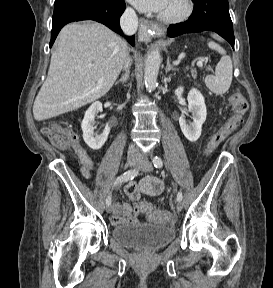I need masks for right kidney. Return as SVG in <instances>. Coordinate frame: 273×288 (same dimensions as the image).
Here are the masks:
<instances>
[{"label":"right kidney","instance_id":"1","mask_svg":"<svg viewBox=\"0 0 273 288\" xmlns=\"http://www.w3.org/2000/svg\"><path fill=\"white\" fill-rule=\"evenodd\" d=\"M102 110V103L99 101L94 102L85 112L84 119L81 123L83 139L93 150H99L104 145L110 132V126L106 125L100 135L94 133L95 116L99 112H102Z\"/></svg>","mask_w":273,"mask_h":288}]
</instances>
